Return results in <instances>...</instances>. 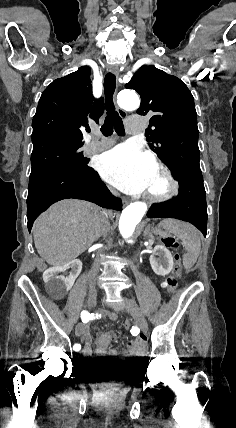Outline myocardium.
<instances>
[{"mask_svg":"<svg viewBox=\"0 0 236 428\" xmlns=\"http://www.w3.org/2000/svg\"><path fill=\"white\" fill-rule=\"evenodd\" d=\"M155 172L161 173L167 184V189L162 193L145 192L143 197L146 201L154 204L168 203L180 194L181 183L175 177L169 166L164 163H157L155 165Z\"/></svg>","mask_w":236,"mask_h":428,"instance_id":"f54148a6","label":"myocardium"}]
</instances>
